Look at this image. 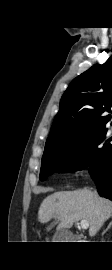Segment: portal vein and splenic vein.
Segmentation results:
<instances>
[{
  "instance_id": "1",
  "label": "portal vein and splenic vein",
  "mask_w": 112,
  "mask_h": 270,
  "mask_svg": "<svg viewBox=\"0 0 112 270\" xmlns=\"http://www.w3.org/2000/svg\"><path fill=\"white\" fill-rule=\"evenodd\" d=\"M80 226L82 229H87L89 227V223L87 220H81Z\"/></svg>"
}]
</instances>
